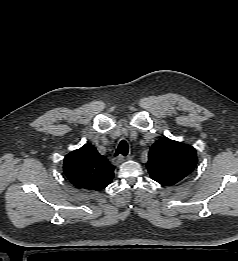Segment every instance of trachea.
<instances>
[{
  "instance_id": "3493384b",
  "label": "trachea",
  "mask_w": 238,
  "mask_h": 261,
  "mask_svg": "<svg viewBox=\"0 0 238 261\" xmlns=\"http://www.w3.org/2000/svg\"><path fill=\"white\" fill-rule=\"evenodd\" d=\"M119 154H122L123 156H126L128 154V144L125 140H122L116 150L115 156H118Z\"/></svg>"
}]
</instances>
